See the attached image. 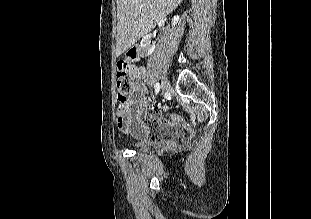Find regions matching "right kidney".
<instances>
[{"instance_id": "1", "label": "right kidney", "mask_w": 311, "mask_h": 219, "mask_svg": "<svg viewBox=\"0 0 311 219\" xmlns=\"http://www.w3.org/2000/svg\"><path fill=\"white\" fill-rule=\"evenodd\" d=\"M178 20L179 16H174L172 19V25L174 26L178 22ZM151 37V34L145 35L140 42V48L142 52L147 56L152 54L155 49V45L151 44Z\"/></svg>"}]
</instances>
